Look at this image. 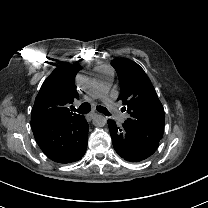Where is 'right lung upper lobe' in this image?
Returning a JSON list of instances; mask_svg holds the SVG:
<instances>
[{"label": "right lung upper lobe", "instance_id": "obj_1", "mask_svg": "<svg viewBox=\"0 0 208 208\" xmlns=\"http://www.w3.org/2000/svg\"><path fill=\"white\" fill-rule=\"evenodd\" d=\"M79 69V64H64L48 76L35 99L31 125L66 122L81 116L70 112L68 108L78 98L75 76Z\"/></svg>", "mask_w": 208, "mask_h": 208}]
</instances>
